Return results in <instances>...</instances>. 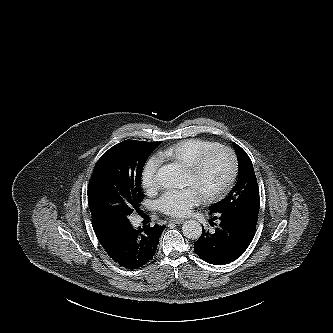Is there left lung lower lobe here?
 <instances>
[{"label":"left lung lower lobe","mask_w":333,"mask_h":333,"mask_svg":"<svg viewBox=\"0 0 333 333\" xmlns=\"http://www.w3.org/2000/svg\"><path fill=\"white\" fill-rule=\"evenodd\" d=\"M216 217L209 220L216 226L215 232L202 231L194 243L196 254L204 261L222 265L238 259L250 245L256 231L258 213L212 212ZM216 220V223L214 222Z\"/></svg>","instance_id":"obj_1"}]
</instances>
